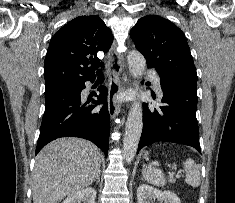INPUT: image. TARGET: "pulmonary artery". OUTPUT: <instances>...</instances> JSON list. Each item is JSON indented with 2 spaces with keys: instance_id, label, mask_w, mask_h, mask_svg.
Instances as JSON below:
<instances>
[{
  "instance_id": "obj_1",
  "label": "pulmonary artery",
  "mask_w": 235,
  "mask_h": 203,
  "mask_svg": "<svg viewBox=\"0 0 235 203\" xmlns=\"http://www.w3.org/2000/svg\"><path fill=\"white\" fill-rule=\"evenodd\" d=\"M154 86H155V89L161 94L162 93V89H161V84H160V78L157 74L155 73H150L149 74Z\"/></svg>"
}]
</instances>
